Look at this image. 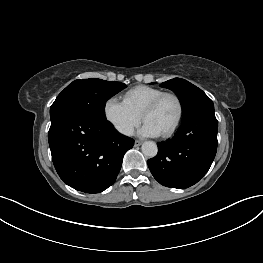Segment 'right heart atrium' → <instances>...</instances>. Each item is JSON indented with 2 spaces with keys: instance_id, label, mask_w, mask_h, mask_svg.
Listing matches in <instances>:
<instances>
[{
  "instance_id": "d8ad5b80",
  "label": "right heart atrium",
  "mask_w": 263,
  "mask_h": 263,
  "mask_svg": "<svg viewBox=\"0 0 263 263\" xmlns=\"http://www.w3.org/2000/svg\"><path fill=\"white\" fill-rule=\"evenodd\" d=\"M105 119L120 134L128 136L140 123L141 116L129 108V106L117 97H110L103 107Z\"/></svg>"
}]
</instances>
